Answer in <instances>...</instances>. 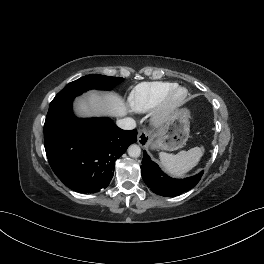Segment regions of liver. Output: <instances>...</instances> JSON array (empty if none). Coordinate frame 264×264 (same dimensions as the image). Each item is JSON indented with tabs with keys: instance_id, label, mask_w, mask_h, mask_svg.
<instances>
[{
	"instance_id": "6515ba94",
	"label": "liver",
	"mask_w": 264,
	"mask_h": 264,
	"mask_svg": "<svg viewBox=\"0 0 264 264\" xmlns=\"http://www.w3.org/2000/svg\"><path fill=\"white\" fill-rule=\"evenodd\" d=\"M75 108L81 116H124L127 108L124 100L114 93L99 94L90 92L84 98L77 99Z\"/></svg>"
}]
</instances>
